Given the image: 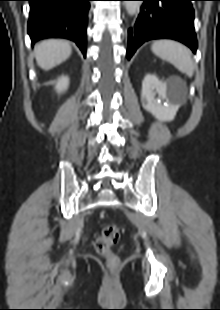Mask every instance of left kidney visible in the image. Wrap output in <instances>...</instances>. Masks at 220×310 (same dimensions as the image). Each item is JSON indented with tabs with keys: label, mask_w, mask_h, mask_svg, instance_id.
<instances>
[{
	"label": "left kidney",
	"mask_w": 220,
	"mask_h": 310,
	"mask_svg": "<svg viewBox=\"0 0 220 310\" xmlns=\"http://www.w3.org/2000/svg\"><path fill=\"white\" fill-rule=\"evenodd\" d=\"M159 100H166L167 105H163ZM141 101L143 107L160 121H172L176 115L177 109L167 98V85L159 81L155 75L145 76L142 82Z\"/></svg>",
	"instance_id": "5707ae66"
}]
</instances>
